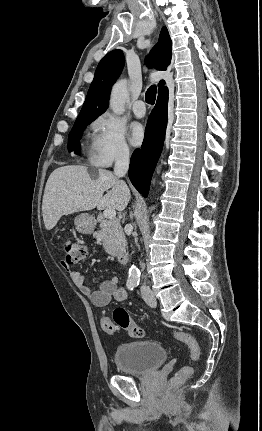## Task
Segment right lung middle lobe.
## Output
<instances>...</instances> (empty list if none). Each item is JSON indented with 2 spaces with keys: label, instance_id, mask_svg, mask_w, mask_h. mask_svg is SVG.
<instances>
[{
  "label": "right lung middle lobe",
  "instance_id": "1",
  "mask_svg": "<svg viewBox=\"0 0 262 431\" xmlns=\"http://www.w3.org/2000/svg\"><path fill=\"white\" fill-rule=\"evenodd\" d=\"M94 120L95 118H77L71 132L69 133L68 151H75V153H79L81 134L83 133L86 126Z\"/></svg>",
  "mask_w": 262,
  "mask_h": 431
}]
</instances>
